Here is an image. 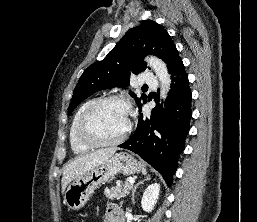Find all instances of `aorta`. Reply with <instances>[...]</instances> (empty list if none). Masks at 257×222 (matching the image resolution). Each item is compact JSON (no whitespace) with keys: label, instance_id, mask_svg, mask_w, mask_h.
Here are the masks:
<instances>
[{"label":"aorta","instance_id":"762f6f07","mask_svg":"<svg viewBox=\"0 0 257 222\" xmlns=\"http://www.w3.org/2000/svg\"><path fill=\"white\" fill-rule=\"evenodd\" d=\"M145 61L154 70L161 84V94L165 97L170 89V75L166 64L157 57H147Z\"/></svg>","mask_w":257,"mask_h":222}]
</instances>
